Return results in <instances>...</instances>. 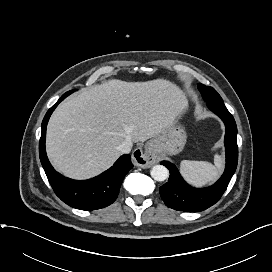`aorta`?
Here are the masks:
<instances>
[{
	"label": "aorta",
	"instance_id": "762f6f07",
	"mask_svg": "<svg viewBox=\"0 0 272 272\" xmlns=\"http://www.w3.org/2000/svg\"><path fill=\"white\" fill-rule=\"evenodd\" d=\"M150 174L154 180L162 182L168 178L169 171L163 165H155L152 167Z\"/></svg>",
	"mask_w": 272,
	"mask_h": 272
}]
</instances>
